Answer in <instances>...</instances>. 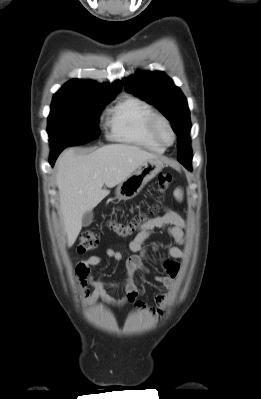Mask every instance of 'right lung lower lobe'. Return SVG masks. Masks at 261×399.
Returning <instances> with one entry per match:
<instances>
[{"mask_svg":"<svg viewBox=\"0 0 261 399\" xmlns=\"http://www.w3.org/2000/svg\"><path fill=\"white\" fill-rule=\"evenodd\" d=\"M62 150H63V148L51 150L49 163H50L52 166H54L55 161H56L58 155L61 153Z\"/></svg>","mask_w":261,"mask_h":399,"instance_id":"right-lung-lower-lobe-1","label":"right lung lower lobe"}]
</instances>
